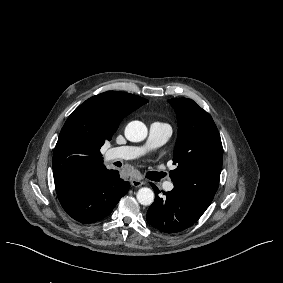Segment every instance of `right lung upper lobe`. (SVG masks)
I'll return each mask as SVG.
<instances>
[{"label": "right lung upper lobe", "mask_w": 283, "mask_h": 283, "mask_svg": "<svg viewBox=\"0 0 283 283\" xmlns=\"http://www.w3.org/2000/svg\"><path fill=\"white\" fill-rule=\"evenodd\" d=\"M148 100L107 91L76 108L66 120L53 154V175L57 194L80 186L104 168L100 148L112 139L121 120Z\"/></svg>", "instance_id": "cb5924a9"}]
</instances>
